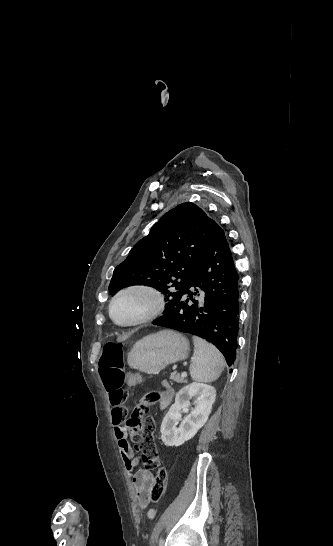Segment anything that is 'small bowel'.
Segmentation results:
<instances>
[{
  "label": "small bowel",
  "mask_w": 333,
  "mask_h": 546,
  "mask_svg": "<svg viewBox=\"0 0 333 546\" xmlns=\"http://www.w3.org/2000/svg\"><path fill=\"white\" fill-rule=\"evenodd\" d=\"M136 371L137 370L134 368L132 371L127 370L125 372V375L127 376L126 378L128 379L125 382L127 387H139L141 385V382L138 380L140 377L135 375ZM142 384L145 386L147 383L144 381ZM168 390L170 395L160 402V407L162 409L165 408L171 400L172 391L170 389ZM123 397L124 393L122 390L109 392V400L112 405L111 418L114 425V435L117 440L123 463L126 469L131 473L133 490L137 499L138 507L144 508L149 501V492L156 479V474L144 469L135 470L136 466L138 465V459L127 440V429L124 425L127 409L122 403ZM116 398H120V401L115 402L114 400ZM154 515V510L148 511L149 519H152Z\"/></svg>",
  "instance_id": "obj_1"
}]
</instances>
